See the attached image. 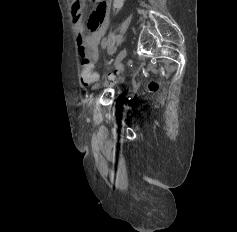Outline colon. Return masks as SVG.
Masks as SVG:
<instances>
[{"label": "colon", "mask_w": 237, "mask_h": 232, "mask_svg": "<svg viewBox=\"0 0 237 232\" xmlns=\"http://www.w3.org/2000/svg\"><path fill=\"white\" fill-rule=\"evenodd\" d=\"M125 0H113V6H112V14H116L120 11L124 4ZM98 79L97 73L93 70V65L85 60L82 62L81 65V73H80V82L82 85L87 86L93 82H95ZM111 82L116 81V77H111ZM149 88L152 91H156L158 89V84L155 81H151L149 84Z\"/></svg>", "instance_id": "5ec220e1"}]
</instances>
